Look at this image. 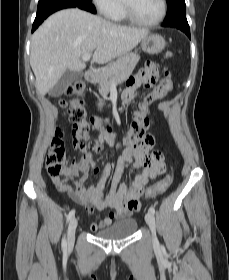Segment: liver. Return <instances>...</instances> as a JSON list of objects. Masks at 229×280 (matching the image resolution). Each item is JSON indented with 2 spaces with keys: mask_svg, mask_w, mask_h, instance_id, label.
I'll return each mask as SVG.
<instances>
[{
  "mask_svg": "<svg viewBox=\"0 0 229 280\" xmlns=\"http://www.w3.org/2000/svg\"><path fill=\"white\" fill-rule=\"evenodd\" d=\"M148 34L77 8L54 13L32 37L30 64L37 91L44 96L66 70L82 71V55L94 51L92 61L104 64L131 51Z\"/></svg>",
  "mask_w": 229,
  "mask_h": 280,
  "instance_id": "liver-1",
  "label": "liver"
}]
</instances>
